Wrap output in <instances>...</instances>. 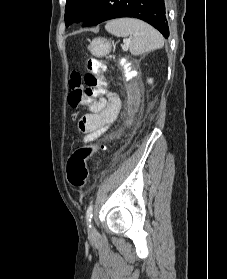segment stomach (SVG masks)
<instances>
[{"instance_id": "1", "label": "stomach", "mask_w": 227, "mask_h": 279, "mask_svg": "<svg viewBox=\"0 0 227 279\" xmlns=\"http://www.w3.org/2000/svg\"><path fill=\"white\" fill-rule=\"evenodd\" d=\"M90 52L96 57H103L110 53L111 43L104 38H95L89 46Z\"/></svg>"}]
</instances>
